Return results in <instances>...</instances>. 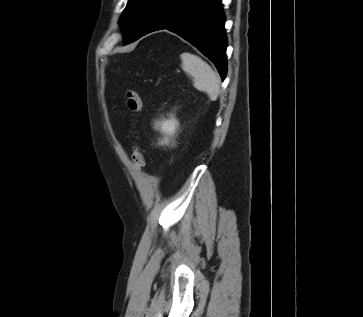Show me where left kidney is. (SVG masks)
<instances>
[{
	"label": "left kidney",
	"instance_id": "obj_1",
	"mask_svg": "<svg viewBox=\"0 0 363 317\" xmlns=\"http://www.w3.org/2000/svg\"><path fill=\"white\" fill-rule=\"evenodd\" d=\"M160 125H161L162 132L165 133L166 135L170 136L173 133H175L177 122L174 118H171L169 120L163 121L162 123H160ZM166 135H165L164 142H165V144H168L169 140L166 137ZM161 144H163V142H161Z\"/></svg>",
	"mask_w": 363,
	"mask_h": 317
}]
</instances>
